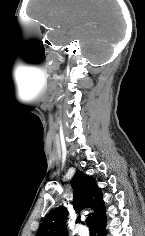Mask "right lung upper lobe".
Returning a JSON list of instances; mask_svg holds the SVG:
<instances>
[{
  "label": "right lung upper lobe",
  "instance_id": "right-lung-upper-lobe-1",
  "mask_svg": "<svg viewBox=\"0 0 145 236\" xmlns=\"http://www.w3.org/2000/svg\"><path fill=\"white\" fill-rule=\"evenodd\" d=\"M71 185L74 192L73 207L75 211L92 208L94 210L92 217L95 223L106 215L102 192L93 177L77 171ZM67 215L68 212L63 206L50 211L40 226L37 236H68L65 225ZM77 222H81L80 218L77 219Z\"/></svg>",
  "mask_w": 145,
  "mask_h": 236
}]
</instances>
